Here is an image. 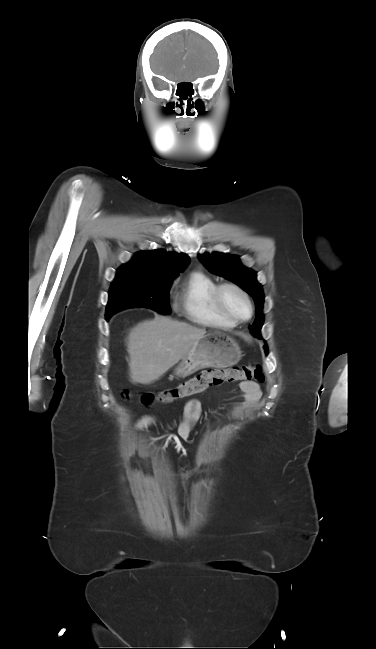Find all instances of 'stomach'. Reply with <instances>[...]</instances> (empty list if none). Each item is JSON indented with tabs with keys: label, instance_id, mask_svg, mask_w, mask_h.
I'll list each match as a JSON object with an SVG mask.
<instances>
[{
	"label": "stomach",
	"instance_id": "0dacf381",
	"mask_svg": "<svg viewBox=\"0 0 376 649\" xmlns=\"http://www.w3.org/2000/svg\"><path fill=\"white\" fill-rule=\"evenodd\" d=\"M239 344L222 332H209L196 340L175 369L177 377L185 378L203 368H226L242 357Z\"/></svg>",
	"mask_w": 376,
	"mask_h": 649
}]
</instances>
